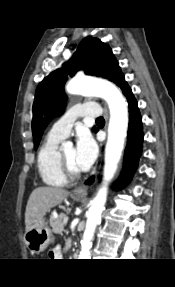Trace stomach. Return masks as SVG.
I'll use <instances>...</instances> for the list:
<instances>
[{
  "label": "stomach",
  "instance_id": "0dacf381",
  "mask_svg": "<svg viewBox=\"0 0 175 287\" xmlns=\"http://www.w3.org/2000/svg\"><path fill=\"white\" fill-rule=\"evenodd\" d=\"M53 240L52 231L44 220L34 222L24 234V242L32 253L44 251Z\"/></svg>",
  "mask_w": 175,
  "mask_h": 287
}]
</instances>
